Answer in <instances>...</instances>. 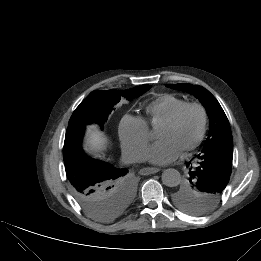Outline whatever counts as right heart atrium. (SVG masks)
<instances>
[{"label":"right heart atrium","instance_id":"d8ad5b80","mask_svg":"<svg viewBox=\"0 0 261 261\" xmlns=\"http://www.w3.org/2000/svg\"><path fill=\"white\" fill-rule=\"evenodd\" d=\"M118 134L126 156L131 160L141 159L150 141L149 130L144 120L125 115L119 123Z\"/></svg>","mask_w":261,"mask_h":261}]
</instances>
